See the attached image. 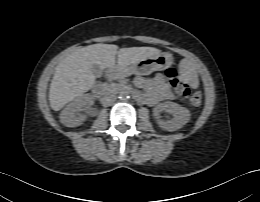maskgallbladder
<instances>
[{"label": "gallbladder", "instance_id": "gallbladder-1", "mask_svg": "<svg viewBox=\"0 0 260 202\" xmlns=\"http://www.w3.org/2000/svg\"><path fill=\"white\" fill-rule=\"evenodd\" d=\"M93 74L95 75V77H100L103 74V70L96 64H94L91 68Z\"/></svg>", "mask_w": 260, "mask_h": 202}]
</instances>
